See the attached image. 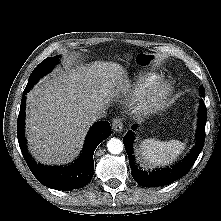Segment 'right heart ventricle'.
<instances>
[{
	"mask_svg": "<svg viewBox=\"0 0 221 221\" xmlns=\"http://www.w3.org/2000/svg\"><path fill=\"white\" fill-rule=\"evenodd\" d=\"M158 75L156 74H148L145 77H143L140 81L137 82L135 85V92H140L146 87L150 86L153 84L155 81H157Z\"/></svg>",
	"mask_w": 221,
	"mask_h": 221,
	"instance_id": "e07e8e85",
	"label": "right heart ventricle"
}]
</instances>
